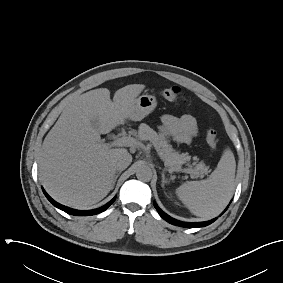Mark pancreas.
Masks as SVG:
<instances>
[{"label":"pancreas","instance_id":"cf45deb5","mask_svg":"<svg viewBox=\"0 0 283 283\" xmlns=\"http://www.w3.org/2000/svg\"><path fill=\"white\" fill-rule=\"evenodd\" d=\"M138 139L150 141L160 147L167 167L173 171L180 169L181 166L190 159L186 153L180 154L178 151H175L169 144V140L163 134H158L145 123L139 126ZM191 170L194 176H203V174L208 173V167L205 166L203 162L196 164Z\"/></svg>","mask_w":283,"mask_h":283}]
</instances>
